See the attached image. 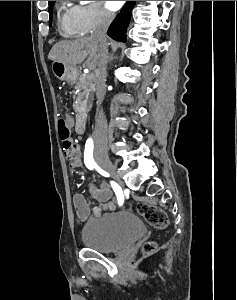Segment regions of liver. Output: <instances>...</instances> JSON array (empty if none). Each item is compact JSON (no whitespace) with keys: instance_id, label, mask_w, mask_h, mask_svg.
<instances>
[{"instance_id":"6515ba94","label":"liver","mask_w":237,"mask_h":300,"mask_svg":"<svg viewBox=\"0 0 237 300\" xmlns=\"http://www.w3.org/2000/svg\"><path fill=\"white\" fill-rule=\"evenodd\" d=\"M100 43L94 37H81L77 41H59L52 47L48 59L60 61L68 67H76L85 59L88 69H95L99 63Z\"/></svg>"}]
</instances>
